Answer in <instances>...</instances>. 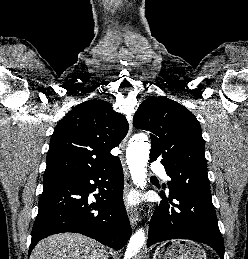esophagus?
Returning a JSON list of instances; mask_svg holds the SVG:
<instances>
[{"mask_svg":"<svg viewBox=\"0 0 248 259\" xmlns=\"http://www.w3.org/2000/svg\"><path fill=\"white\" fill-rule=\"evenodd\" d=\"M132 131H133V125H132V120L130 118L129 119L128 133H127L126 137L123 139V141L121 142V145H120L122 150H125V147L127 145V141L129 139V137L131 136ZM131 185H132V183H131V180L129 178L127 168L124 164V194L125 195H127L129 189L131 188ZM126 211H127V215H128V218H129V221H130L132 227L135 228L138 221H139L137 212L132 207H130L127 203H126Z\"/></svg>","mask_w":248,"mask_h":259,"instance_id":"34e87169","label":"esophagus"}]
</instances>
